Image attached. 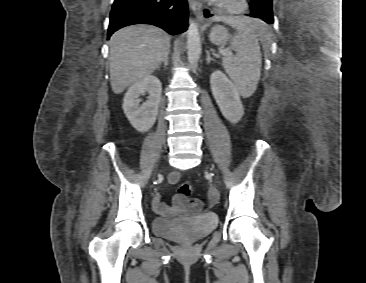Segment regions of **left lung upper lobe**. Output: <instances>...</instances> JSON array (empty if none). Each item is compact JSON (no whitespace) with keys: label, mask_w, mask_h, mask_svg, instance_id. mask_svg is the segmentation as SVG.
I'll return each instance as SVG.
<instances>
[{"label":"left lung upper lobe","mask_w":366,"mask_h":283,"mask_svg":"<svg viewBox=\"0 0 366 283\" xmlns=\"http://www.w3.org/2000/svg\"><path fill=\"white\" fill-rule=\"evenodd\" d=\"M252 13L267 23H273L272 0H250Z\"/></svg>","instance_id":"obj_1"}]
</instances>
